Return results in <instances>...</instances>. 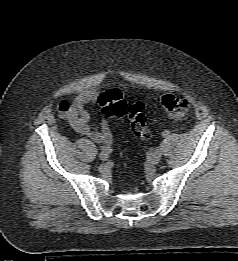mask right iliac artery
I'll list each match as a JSON object with an SVG mask.
<instances>
[{
  "label": "right iliac artery",
  "instance_id": "right-iliac-artery-1",
  "mask_svg": "<svg viewBox=\"0 0 238 261\" xmlns=\"http://www.w3.org/2000/svg\"><path fill=\"white\" fill-rule=\"evenodd\" d=\"M101 150L106 152L107 154L112 152V149L108 146H101Z\"/></svg>",
  "mask_w": 238,
  "mask_h": 261
}]
</instances>
